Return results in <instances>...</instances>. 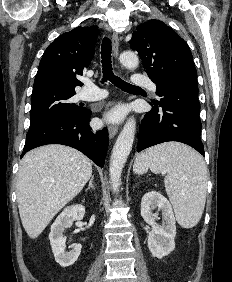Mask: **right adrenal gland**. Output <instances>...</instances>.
<instances>
[{"instance_id": "obj_1", "label": "right adrenal gland", "mask_w": 232, "mask_h": 282, "mask_svg": "<svg viewBox=\"0 0 232 282\" xmlns=\"http://www.w3.org/2000/svg\"><path fill=\"white\" fill-rule=\"evenodd\" d=\"M93 178H94V176H91V179H90V181H89V186H88V188L86 189V191H88L90 188H92L93 190H95V187H94V185H93Z\"/></svg>"}]
</instances>
